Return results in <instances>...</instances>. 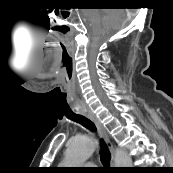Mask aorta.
Masks as SVG:
<instances>
[{
	"label": "aorta",
	"instance_id": "1",
	"mask_svg": "<svg viewBox=\"0 0 173 173\" xmlns=\"http://www.w3.org/2000/svg\"><path fill=\"white\" fill-rule=\"evenodd\" d=\"M95 147V142L88 136L74 138L67 147L64 164L79 167L93 154ZM114 163L116 167H132L131 157L121 148L115 150Z\"/></svg>",
	"mask_w": 173,
	"mask_h": 173
}]
</instances>
